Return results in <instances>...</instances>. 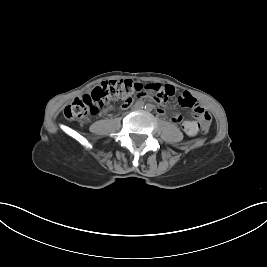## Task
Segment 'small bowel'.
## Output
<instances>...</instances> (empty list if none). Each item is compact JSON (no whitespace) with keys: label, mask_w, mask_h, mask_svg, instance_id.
Returning a JSON list of instances; mask_svg holds the SVG:
<instances>
[{"label":"small bowel","mask_w":267,"mask_h":267,"mask_svg":"<svg viewBox=\"0 0 267 267\" xmlns=\"http://www.w3.org/2000/svg\"><path fill=\"white\" fill-rule=\"evenodd\" d=\"M125 108V107H124ZM174 120V117H173ZM176 123H181L183 129L188 133V134H195L197 132V127L192 121H182L181 116H179V120H174Z\"/></svg>","instance_id":"small-bowel-1"}]
</instances>
